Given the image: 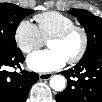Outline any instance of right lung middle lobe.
<instances>
[{
	"instance_id": "1",
	"label": "right lung middle lobe",
	"mask_w": 102,
	"mask_h": 102,
	"mask_svg": "<svg viewBox=\"0 0 102 102\" xmlns=\"http://www.w3.org/2000/svg\"><path fill=\"white\" fill-rule=\"evenodd\" d=\"M34 13L32 9H23L12 3L0 4V50L15 51V32L18 24L26 16Z\"/></svg>"
}]
</instances>
